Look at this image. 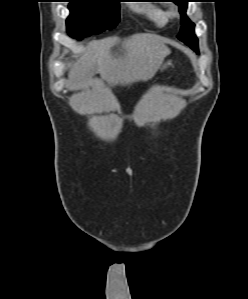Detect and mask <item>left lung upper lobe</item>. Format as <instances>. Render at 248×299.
<instances>
[{
    "label": "left lung upper lobe",
    "instance_id": "1",
    "mask_svg": "<svg viewBox=\"0 0 248 299\" xmlns=\"http://www.w3.org/2000/svg\"><path fill=\"white\" fill-rule=\"evenodd\" d=\"M173 2L179 5V11L182 15V27L177 37L191 47L194 51L198 52V39L194 34L195 25L186 16L188 0H173Z\"/></svg>",
    "mask_w": 248,
    "mask_h": 299
}]
</instances>
